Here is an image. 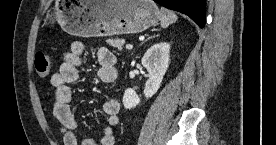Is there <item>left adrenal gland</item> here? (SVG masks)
<instances>
[{"mask_svg":"<svg viewBox=\"0 0 276 145\" xmlns=\"http://www.w3.org/2000/svg\"><path fill=\"white\" fill-rule=\"evenodd\" d=\"M157 36H158V35H153V36L148 37L147 39H145V40L142 42V44H143L144 42L148 41L149 39L155 38V37H157Z\"/></svg>","mask_w":276,"mask_h":145,"instance_id":"1","label":"left adrenal gland"}]
</instances>
